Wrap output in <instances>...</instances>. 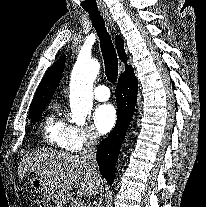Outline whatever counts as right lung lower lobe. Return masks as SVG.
Masks as SVG:
<instances>
[{
    "label": "right lung lower lobe",
    "instance_id": "1",
    "mask_svg": "<svg viewBox=\"0 0 206 207\" xmlns=\"http://www.w3.org/2000/svg\"><path fill=\"white\" fill-rule=\"evenodd\" d=\"M115 95L118 107L116 125L97 148L100 172L109 184L114 181L118 150L125 138L137 100V80L132 67L120 75Z\"/></svg>",
    "mask_w": 206,
    "mask_h": 207
}]
</instances>
